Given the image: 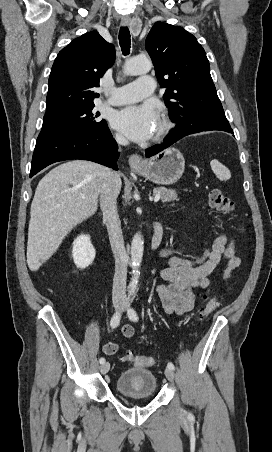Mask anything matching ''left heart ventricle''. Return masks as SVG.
Here are the masks:
<instances>
[{
    "label": "left heart ventricle",
    "instance_id": "b2bd125f",
    "mask_svg": "<svg viewBox=\"0 0 272 452\" xmlns=\"http://www.w3.org/2000/svg\"><path fill=\"white\" fill-rule=\"evenodd\" d=\"M158 127H159V124H157V127H156V129H158Z\"/></svg>",
    "mask_w": 272,
    "mask_h": 452
}]
</instances>
